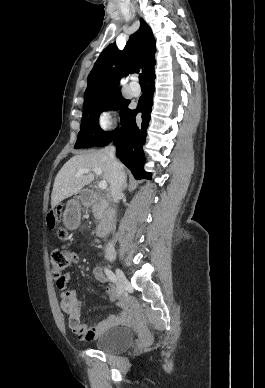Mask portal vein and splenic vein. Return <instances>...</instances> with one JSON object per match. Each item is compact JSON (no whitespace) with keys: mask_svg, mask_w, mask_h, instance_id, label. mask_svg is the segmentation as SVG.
<instances>
[{"mask_svg":"<svg viewBox=\"0 0 265 388\" xmlns=\"http://www.w3.org/2000/svg\"><path fill=\"white\" fill-rule=\"evenodd\" d=\"M88 172H95L96 176H101L102 174L101 168H83V170H78L76 176H82V174H88ZM107 186V182H100L99 184L100 190H106Z\"/></svg>","mask_w":265,"mask_h":388,"instance_id":"portal-vein-and-splenic-vein-1","label":"portal vein and splenic vein"}]
</instances>
